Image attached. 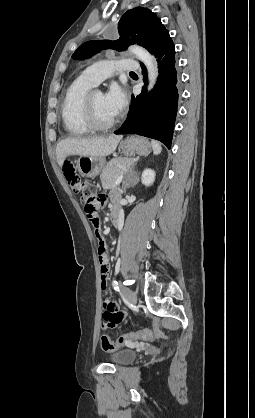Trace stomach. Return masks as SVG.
<instances>
[{
  "mask_svg": "<svg viewBox=\"0 0 255 418\" xmlns=\"http://www.w3.org/2000/svg\"><path fill=\"white\" fill-rule=\"evenodd\" d=\"M120 149L126 156L147 155L150 152V143L142 137H130L120 143ZM105 165L104 157L81 156L76 168L86 178L97 176Z\"/></svg>",
  "mask_w": 255,
  "mask_h": 418,
  "instance_id": "stomach-1",
  "label": "stomach"
}]
</instances>
